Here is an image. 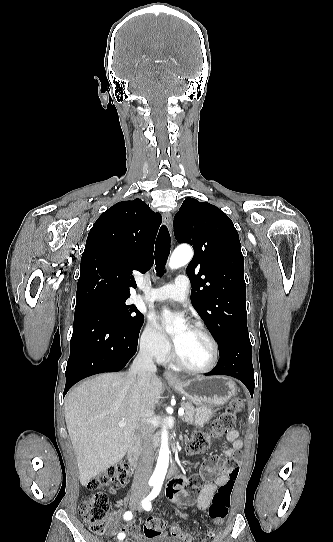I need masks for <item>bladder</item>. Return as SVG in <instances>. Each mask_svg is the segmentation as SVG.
<instances>
[{"mask_svg":"<svg viewBox=\"0 0 333 542\" xmlns=\"http://www.w3.org/2000/svg\"><path fill=\"white\" fill-rule=\"evenodd\" d=\"M147 542H180V541H178L172 535L165 534V535H158L156 537H152Z\"/></svg>","mask_w":333,"mask_h":542,"instance_id":"obj_1","label":"bladder"}]
</instances>
